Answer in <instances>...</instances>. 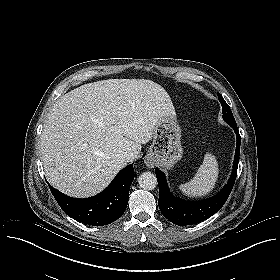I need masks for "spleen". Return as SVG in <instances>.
Instances as JSON below:
<instances>
[{"instance_id": "spleen-1", "label": "spleen", "mask_w": 280, "mask_h": 280, "mask_svg": "<svg viewBox=\"0 0 280 280\" xmlns=\"http://www.w3.org/2000/svg\"><path fill=\"white\" fill-rule=\"evenodd\" d=\"M218 175V162L214 155L207 152L195 176L189 182L181 184L179 189L189 197L205 196L214 189Z\"/></svg>"}]
</instances>
